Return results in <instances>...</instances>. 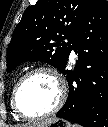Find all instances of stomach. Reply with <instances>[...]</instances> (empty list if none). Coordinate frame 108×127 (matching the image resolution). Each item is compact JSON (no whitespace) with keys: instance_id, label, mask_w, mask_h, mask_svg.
<instances>
[{"instance_id":"1","label":"stomach","mask_w":108,"mask_h":127,"mask_svg":"<svg viewBox=\"0 0 108 127\" xmlns=\"http://www.w3.org/2000/svg\"><path fill=\"white\" fill-rule=\"evenodd\" d=\"M43 127H73L70 122L63 119H55L51 123Z\"/></svg>"}]
</instances>
